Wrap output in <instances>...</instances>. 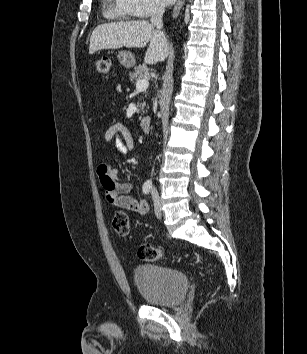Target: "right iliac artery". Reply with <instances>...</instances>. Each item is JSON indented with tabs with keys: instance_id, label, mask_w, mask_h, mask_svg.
Instances as JSON below:
<instances>
[{
	"instance_id": "right-iliac-artery-1",
	"label": "right iliac artery",
	"mask_w": 307,
	"mask_h": 354,
	"mask_svg": "<svg viewBox=\"0 0 307 354\" xmlns=\"http://www.w3.org/2000/svg\"><path fill=\"white\" fill-rule=\"evenodd\" d=\"M143 193L148 194L151 190V185L149 183H145L142 187Z\"/></svg>"
}]
</instances>
